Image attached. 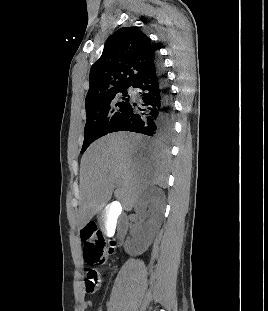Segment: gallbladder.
I'll list each match as a JSON object with an SVG mask.
<instances>
[{
  "label": "gallbladder",
  "instance_id": "1",
  "mask_svg": "<svg viewBox=\"0 0 268 311\" xmlns=\"http://www.w3.org/2000/svg\"><path fill=\"white\" fill-rule=\"evenodd\" d=\"M122 205V199H113L111 202H106L102 215L98 220L102 228V234H109L110 238L113 236L112 234H117L116 221L122 211Z\"/></svg>",
  "mask_w": 268,
  "mask_h": 311
}]
</instances>
